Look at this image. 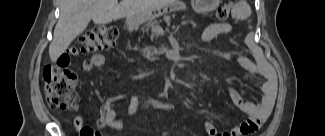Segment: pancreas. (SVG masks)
Segmentation results:
<instances>
[{
    "label": "pancreas",
    "mask_w": 325,
    "mask_h": 136,
    "mask_svg": "<svg viewBox=\"0 0 325 136\" xmlns=\"http://www.w3.org/2000/svg\"><path fill=\"white\" fill-rule=\"evenodd\" d=\"M180 18H181L180 12H170V14L167 15V17L165 19L152 18L149 23L143 24V26H142L143 28L140 29V32L143 34L149 33L150 29L148 27H150V26H160V24L161 25H163V24H177L178 19H180ZM145 36L150 37L151 35L146 34Z\"/></svg>",
    "instance_id": "cf45deb5"
}]
</instances>
